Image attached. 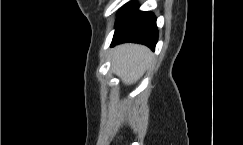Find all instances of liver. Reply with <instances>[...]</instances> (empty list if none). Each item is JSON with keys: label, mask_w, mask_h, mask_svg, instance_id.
Wrapping results in <instances>:
<instances>
[{"label": "liver", "mask_w": 243, "mask_h": 145, "mask_svg": "<svg viewBox=\"0 0 243 145\" xmlns=\"http://www.w3.org/2000/svg\"><path fill=\"white\" fill-rule=\"evenodd\" d=\"M151 59L150 50L138 44H123L114 49L112 68L126 85L136 83L144 74Z\"/></svg>", "instance_id": "liver-1"}]
</instances>
